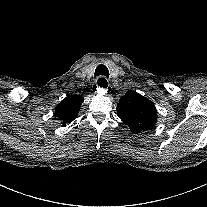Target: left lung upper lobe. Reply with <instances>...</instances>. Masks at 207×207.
I'll return each mask as SVG.
<instances>
[{
  "label": "left lung upper lobe",
  "mask_w": 207,
  "mask_h": 207,
  "mask_svg": "<svg viewBox=\"0 0 207 207\" xmlns=\"http://www.w3.org/2000/svg\"><path fill=\"white\" fill-rule=\"evenodd\" d=\"M117 114L130 130L136 133L150 129L157 121L153 102L134 90L127 91L120 98Z\"/></svg>",
  "instance_id": "5c2ea615"
}]
</instances>
